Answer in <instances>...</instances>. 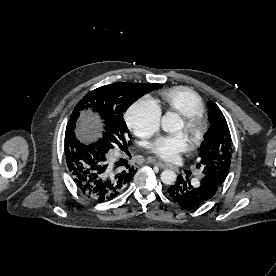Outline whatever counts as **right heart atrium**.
<instances>
[{
  "label": "right heart atrium",
  "mask_w": 276,
  "mask_h": 276,
  "mask_svg": "<svg viewBox=\"0 0 276 276\" xmlns=\"http://www.w3.org/2000/svg\"><path fill=\"white\" fill-rule=\"evenodd\" d=\"M125 120L137 136L147 138L157 132L160 127L161 109L155 101L142 98L129 107Z\"/></svg>",
  "instance_id": "1"
}]
</instances>
